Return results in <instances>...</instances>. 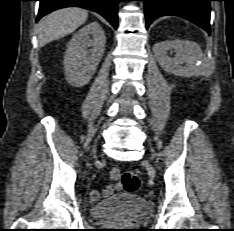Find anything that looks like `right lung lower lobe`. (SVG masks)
<instances>
[{
  "label": "right lung lower lobe",
  "instance_id": "right-lung-lower-lobe-1",
  "mask_svg": "<svg viewBox=\"0 0 234 231\" xmlns=\"http://www.w3.org/2000/svg\"><path fill=\"white\" fill-rule=\"evenodd\" d=\"M40 7L37 21L44 15L64 7H82L104 16L110 24L117 28L118 3L121 0H39Z\"/></svg>",
  "mask_w": 234,
  "mask_h": 231
}]
</instances>
